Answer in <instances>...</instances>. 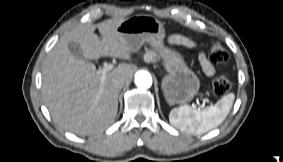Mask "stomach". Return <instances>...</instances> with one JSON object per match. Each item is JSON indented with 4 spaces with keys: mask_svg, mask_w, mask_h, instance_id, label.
Wrapping results in <instances>:
<instances>
[{
    "mask_svg": "<svg viewBox=\"0 0 283 162\" xmlns=\"http://www.w3.org/2000/svg\"><path fill=\"white\" fill-rule=\"evenodd\" d=\"M115 31L123 36L131 51L147 42L159 54L167 71L161 88L169 105L186 104L197 95L199 78L188 67L181 53L164 45L166 34L162 22L151 15H136L124 19Z\"/></svg>",
    "mask_w": 283,
    "mask_h": 162,
    "instance_id": "1",
    "label": "stomach"
}]
</instances>
